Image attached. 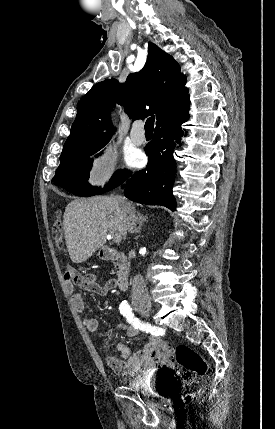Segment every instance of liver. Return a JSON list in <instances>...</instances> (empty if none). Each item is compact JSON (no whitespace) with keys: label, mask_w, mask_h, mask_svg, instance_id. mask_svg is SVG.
Instances as JSON below:
<instances>
[{"label":"liver","mask_w":275,"mask_h":429,"mask_svg":"<svg viewBox=\"0 0 275 429\" xmlns=\"http://www.w3.org/2000/svg\"><path fill=\"white\" fill-rule=\"evenodd\" d=\"M131 208L135 207L130 203ZM63 226L67 249L74 263L85 262L106 243L108 232L126 237L125 215L116 197L95 196L71 201Z\"/></svg>","instance_id":"1"}]
</instances>
